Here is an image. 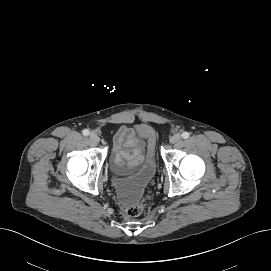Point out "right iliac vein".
I'll return each mask as SVG.
<instances>
[{"label":"right iliac vein","instance_id":"right-iliac-vein-1","mask_svg":"<svg viewBox=\"0 0 271 271\" xmlns=\"http://www.w3.org/2000/svg\"><path fill=\"white\" fill-rule=\"evenodd\" d=\"M89 137L93 142H99L100 141V138H99V136H98V134L96 132H91Z\"/></svg>","mask_w":271,"mask_h":271}]
</instances>
